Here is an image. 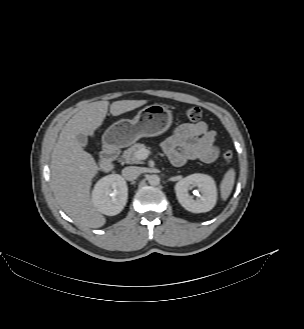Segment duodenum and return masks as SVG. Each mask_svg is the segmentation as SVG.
<instances>
[{"mask_svg": "<svg viewBox=\"0 0 304 329\" xmlns=\"http://www.w3.org/2000/svg\"><path fill=\"white\" fill-rule=\"evenodd\" d=\"M119 153V148L110 142H105L103 151L101 153V162L107 164L112 162Z\"/></svg>", "mask_w": 304, "mask_h": 329, "instance_id": "410a0bca", "label": "duodenum"}]
</instances>
